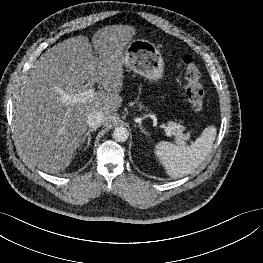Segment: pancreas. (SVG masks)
Instances as JSON below:
<instances>
[{"label": "pancreas", "instance_id": "obj_1", "mask_svg": "<svg viewBox=\"0 0 263 263\" xmlns=\"http://www.w3.org/2000/svg\"><path fill=\"white\" fill-rule=\"evenodd\" d=\"M140 109L143 108L142 105H139ZM168 127L170 129L171 135H174L176 138V142L179 144H183L185 141L189 140L190 133L183 134L185 127L181 124H177L175 122H169Z\"/></svg>", "mask_w": 263, "mask_h": 263}]
</instances>
